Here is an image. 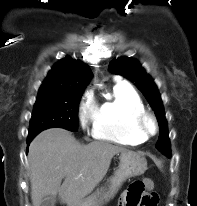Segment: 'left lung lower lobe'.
Returning a JSON list of instances; mask_svg holds the SVG:
<instances>
[{"label":"left lung lower lobe","mask_w":197,"mask_h":206,"mask_svg":"<svg viewBox=\"0 0 197 206\" xmlns=\"http://www.w3.org/2000/svg\"><path fill=\"white\" fill-rule=\"evenodd\" d=\"M166 156H168V157H170L171 156V154H170V152H168L167 154H165Z\"/></svg>","instance_id":"obj_1"}]
</instances>
